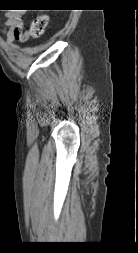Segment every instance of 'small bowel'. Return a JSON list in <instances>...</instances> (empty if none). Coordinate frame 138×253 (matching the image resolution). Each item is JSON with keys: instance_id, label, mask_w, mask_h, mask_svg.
I'll return each mask as SVG.
<instances>
[{"instance_id": "c3829d8e", "label": "small bowel", "mask_w": 138, "mask_h": 253, "mask_svg": "<svg viewBox=\"0 0 138 253\" xmlns=\"http://www.w3.org/2000/svg\"><path fill=\"white\" fill-rule=\"evenodd\" d=\"M4 35L7 44L13 49L20 48L19 45L14 44L15 41L24 43L29 39V32L24 29L23 13L19 11L8 12Z\"/></svg>"}]
</instances>
